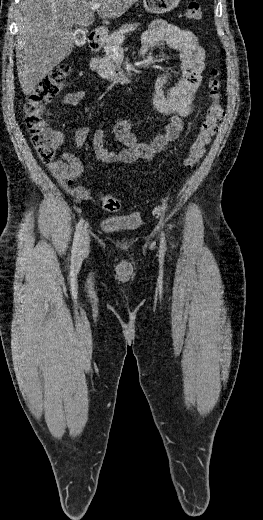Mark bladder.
I'll use <instances>...</instances> for the list:
<instances>
[{"mask_svg":"<svg viewBox=\"0 0 263 520\" xmlns=\"http://www.w3.org/2000/svg\"><path fill=\"white\" fill-rule=\"evenodd\" d=\"M142 223L140 214L132 212L106 217L102 219L100 226L109 233H132L140 229Z\"/></svg>","mask_w":263,"mask_h":520,"instance_id":"1","label":"bladder"}]
</instances>
